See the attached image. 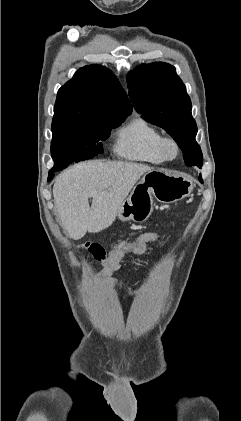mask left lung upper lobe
<instances>
[{
    "label": "left lung upper lobe",
    "mask_w": 241,
    "mask_h": 421,
    "mask_svg": "<svg viewBox=\"0 0 241 421\" xmlns=\"http://www.w3.org/2000/svg\"><path fill=\"white\" fill-rule=\"evenodd\" d=\"M127 82L135 109L173 137L185 163L201 168L203 156L195 140L197 125L191 115V100L175 68L162 62L142 65L128 74Z\"/></svg>",
    "instance_id": "left-lung-upper-lobe-1"
}]
</instances>
